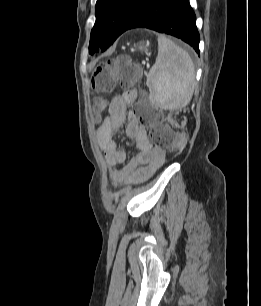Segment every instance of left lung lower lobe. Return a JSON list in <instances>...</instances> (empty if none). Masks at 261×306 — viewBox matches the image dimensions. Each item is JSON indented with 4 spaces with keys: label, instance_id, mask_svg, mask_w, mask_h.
I'll use <instances>...</instances> for the list:
<instances>
[{
    "label": "left lung lower lobe",
    "instance_id": "0a47b994",
    "mask_svg": "<svg viewBox=\"0 0 261 306\" xmlns=\"http://www.w3.org/2000/svg\"><path fill=\"white\" fill-rule=\"evenodd\" d=\"M189 0H145L125 31L148 28L175 36L192 46L199 54V33Z\"/></svg>",
    "mask_w": 261,
    "mask_h": 306
}]
</instances>
